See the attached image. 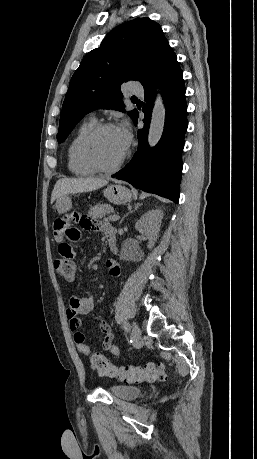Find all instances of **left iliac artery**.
Wrapping results in <instances>:
<instances>
[{
	"label": "left iliac artery",
	"mask_w": 257,
	"mask_h": 459,
	"mask_svg": "<svg viewBox=\"0 0 257 459\" xmlns=\"http://www.w3.org/2000/svg\"><path fill=\"white\" fill-rule=\"evenodd\" d=\"M123 327H124V329H125V331H126V332H128V331H129V329H130V327H129V324H128V323H125Z\"/></svg>",
	"instance_id": "obj_1"
}]
</instances>
